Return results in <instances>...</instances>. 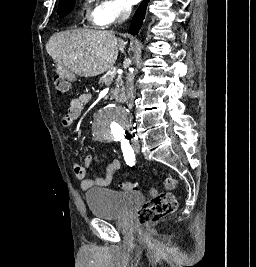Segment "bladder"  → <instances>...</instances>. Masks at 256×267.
Returning a JSON list of instances; mask_svg holds the SVG:
<instances>
[{"mask_svg":"<svg viewBox=\"0 0 256 267\" xmlns=\"http://www.w3.org/2000/svg\"><path fill=\"white\" fill-rule=\"evenodd\" d=\"M85 196L91 214L102 219L124 217L144 203L143 195H122L118 191L101 188L89 190Z\"/></svg>","mask_w":256,"mask_h":267,"instance_id":"1","label":"bladder"}]
</instances>
